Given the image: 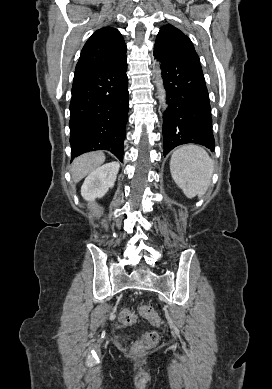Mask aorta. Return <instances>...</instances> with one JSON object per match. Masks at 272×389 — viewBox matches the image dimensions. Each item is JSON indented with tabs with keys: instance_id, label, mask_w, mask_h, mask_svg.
Wrapping results in <instances>:
<instances>
[{
	"instance_id": "aorta-1",
	"label": "aorta",
	"mask_w": 272,
	"mask_h": 389,
	"mask_svg": "<svg viewBox=\"0 0 272 389\" xmlns=\"http://www.w3.org/2000/svg\"><path fill=\"white\" fill-rule=\"evenodd\" d=\"M155 74H156V86H157L158 95H159L158 97L160 99L162 107L165 109V108H167L166 91L164 89L163 80L161 77V70H160L158 63L156 64V67H155Z\"/></svg>"
}]
</instances>
